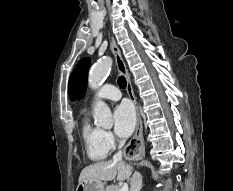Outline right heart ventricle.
I'll return each mask as SVG.
<instances>
[{
  "label": "right heart ventricle",
  "mask_w": 233,
  "mask_h": 191,
  "mask_svg": "<svg viewBox=\"0 0 233 191\" xmlns=\"http://www.w3.org/2000/svg\"><path fill=\"white\" fill-rule=\"evenodd\" d=\"M82 138L85 144L86 153L92 161H102L108 151L102 143V129L91 124L88 118H85L81 128Z\"/></svg>",
  "instance_id": "right-heart-ventricle-1"
}]
</instances>
